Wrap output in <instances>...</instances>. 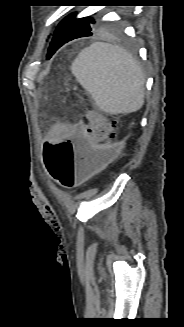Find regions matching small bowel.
Masks as SVG:
<instances>
[{"label": "small bowel", "mask_w": 184, "mask_h": 327, "mask_svg": "<svg viewBox=\"0 0 184 327\" xmlns=\"http://www.w3.org/2000/svg\"><path fill=\"white\" fill-rule=\"evenodd\" d=\"M77 124H83L82 122L72 123V124H56L52 127L48 135V143H69L70 135H80L81 131L76 130ZM56 137L54 141L52 138ZM100 165L101 168L105 164H94Z\"/></svg>", "instance_id": "small-bowel-1"}]
</instances>
